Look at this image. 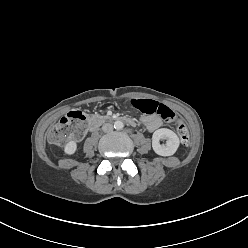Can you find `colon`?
<instances>
[{"mask_svg":"<svg viewBox=\"0 0 248 248\" xmlns=\"http://www.w3.org/2000/svg\"><path fill=\"white\" fill-rule=\"evenodd\" d=\"M131 105L145 114H157L166 122H174L177 117L172 109L164 104L150 99H131ZM86 126V116L82 111H71L62 117L49 131L48 139L53 145H61L69 139L82 136ZM177 131L184 145L190 143V134L183 123H179Z\"/></svg>","mask_w":248,"mask_h":248,"instance_id":"5ec220e1","label":"colon"}]
</instances>
